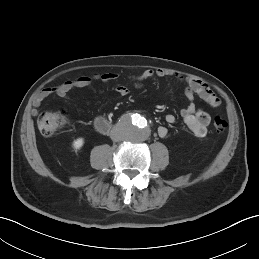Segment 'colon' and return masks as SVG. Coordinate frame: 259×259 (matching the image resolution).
I'll return each mask as SVG.
<instances>
[{"instance_id":"5ec220e1","label":"colon","mask_w":259,"mask_h":259,"mask_svg":"<svg viewBox=\"0 0 259 259\" xmlns=\"http://www.w3.org/2000/svg\"><path fill=\"white\" fill-rule=\"evenodd\" d=\"M67 121L66 112L62 109L46 111L39 117V129L44 136H52L56 134ZM227 128V123L221 117H216L213 121V129L216 132H224Z\"/></svg>"}]
</instances>
